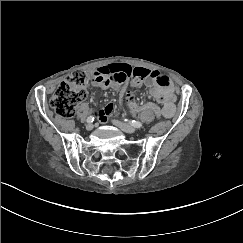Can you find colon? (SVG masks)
I'll list each match as a JSON object with an SVG mask.
<instances>
[{"mask_svg":"<svg viewBox=\"0 0 243 243\" xmlns=\"http://www.w3.org/2000/svg\"><path fill=\"white\" fill-rule=\"evenodd\" d=\"M142 79V74H135L133 76V85H138ZM86 97V75L83 72L77 71L69 75L66 80L58 86L49 101V105L60 117L69 118L74 115L77 104L83 101ZM128 106L133 113L149 111H152L155 114L160 113L159 109L153 104H137L132 94H128Z\"/></svg>","mask_w":243,"mask_h":243,"instance_id":"5ec220e1","label":"colon"}]
</instances>
